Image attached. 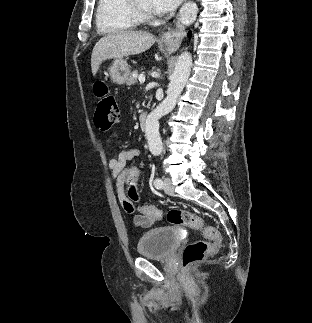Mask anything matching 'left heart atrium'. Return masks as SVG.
Masks as SVG:
<instances>
[{"mask_svg": "<svg viewBox=\"0 0 312 323\" xmlns=\"http://www.w3.org/2000/svg\"><path fill=\"white\" fill-rule=\"evenodd\" d=\"M182 0H151L149 8H156L157 12H176Z\"/></svg>", "mask_w": 312, "mask_h": 323, "instance_id": "39dd6f15", "label": "left heart atrium"}]
</instances>
